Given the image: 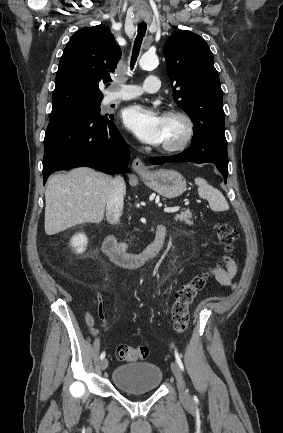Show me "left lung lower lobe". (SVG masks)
<instances>
[{
	"label": "left lung lower lobe",
	"mask_w": 283,
	"mask_h": 433,
	"mask_svg": "<svg viewBox=\"0 0 283 433\" xmlns=\"http://www.w3.org/2000/svg\"><path fill=\"white\" fill-rule=\"evenodd\" d=\"M155 165L169 162L214 163L224 177L228 175L227 141L224 129L215 125L194 129L191 148L177 155L168 157H152Z\"/></svg>",
	"instance_id": "left-lung-lower-lobe-1"
}]
</instances>
